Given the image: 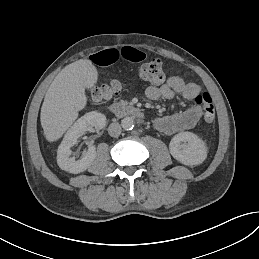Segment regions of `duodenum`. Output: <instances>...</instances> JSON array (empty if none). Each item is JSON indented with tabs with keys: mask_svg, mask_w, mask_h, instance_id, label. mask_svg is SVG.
Instances as JSON below:
<instances>
[{
	"mask_svg": "<svg viewBox=\"0 0 259 259\" xmlns=\"http://www.w3.org/2000/svg\"><path fill=\"white\" fill-rule=\"evenodd\" d=\"M109 111L114 114L117 117H132L137 120H143L144 119V114L141 110L138 108H135L133 106L120 103V102H115L112 103L109 106Z\"/></svg>",
	"mask_w": 259,
	"mask_h": 259,
	"instance_id": "obj_1",
	"label": "duodenum"
}]
</instances>
